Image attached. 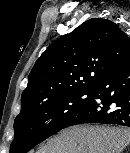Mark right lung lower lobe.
<instances>
[{
    "label": "right lung lower lobe",
    "instance_id": "1",
    "mask_svg": "<svg viewBox=\"0 0 130 153\" xmlns=\"http://www.w3.org/2000/svg\"><path fill=\"white\" fill-rule=\"evenodd\" d=\"M91 95V100L66 122L63 129L84 123L130 127V62L103 77Z\"/></svg>",
    "mask_w": 130,
    "mask_h": 153
}]
</instances>
